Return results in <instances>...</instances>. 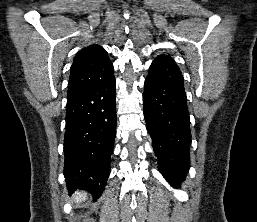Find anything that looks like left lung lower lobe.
<instances>
[{"label":"left lung lower lobe","instance_id":"0a47b994","mask_svg":"<svg viewBox=\"0 0 257 222\" xmlns=\"http://www.w3.org/2000/svg\"><path fill=\"white\" fill-rule=\"evenodd\" d=\"M143 112L159 170L180 187L190 167V118L183 75L176 63L156 58L149 68Z\"/></svg>","mask_w":257,"mask_h":222}]
</instances>
